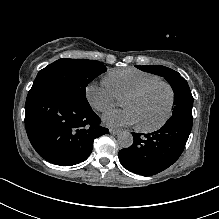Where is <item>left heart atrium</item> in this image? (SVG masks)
Listing matches in <instances>:
<instances>
[{
    "mask_svg": "<svg viewBox=\"0 0 219 219\" xmlns=\"http://www.w3.org/2000/svg\"><path fill=\"white\" fill-rule=\"evenodd\" d=\"M102 121L108 127L138 125V117L130 108L107 112L102 116Z\"/></svg>",
    "mask_w": 219,
    "mask_h": 219,
    "instance_id": "obj_1",
    "label": "left heart atrium"
}]
</instances>
